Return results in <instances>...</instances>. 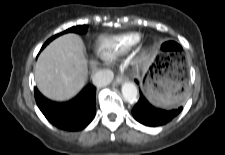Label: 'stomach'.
Instances as JSON below:
<instances>
[{
	"label": "stomach",
	"instance_id": "0dacf381",
	"mask_svg": "<svg viewBox=\"0 0 225 155\" xmlns=\"http://www.w3.org/2000/svg\"><path fill=\"white\" fill-rule=\"evenodd\" d=\"M142 88L148 99L158 106H170L180 102L188 88L183 74L174 67H166L152 56L143 69Z\"/></svg>",
	"mask_w": 225,
	"mask_h": 155
}]
</instances>
